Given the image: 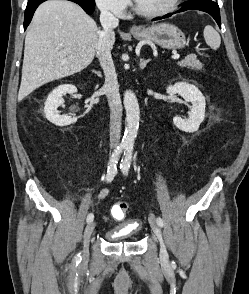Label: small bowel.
Returning a JSON list of instances; mask_svg holds the SVG:
<instances>
[{"label":"small bowel","mask_w":249,"mask_h":294,"mask_svg":"<svg viewBox=\"0 0 249 294\" xmlns=\"http://www.w3.org/2000/svg\"><path fill=\"white\" fill-rule=\"evenodd\" d=\"M109 194H110V189H108V188H104V189H102V190L97 194L96 199H97V201H102V200H104L105 198H107V197L109 196ZM111 213H112V216L114 217V215H113V207H112V209H111ZM114 218H116V217H114ZM116 219H117V218H116Z\"/></svg>","instance_id":"small-bowel-1"}]
</instances>
